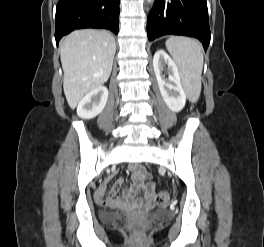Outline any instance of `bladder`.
I'll use <instances>...</instances> for the list:
<instances>
[{"label":"bladder","instance_id":"obj_1","mask_svg":"<svg viewBox=\"0 0 264 247\" xmlns=\"http://www.w3.org/2000/svg\"><path fill=\"white\" fill-rule=\"evenodd\" d=\"M164 215L161 211H155L147 215V219H159ZM100 220L107 223L123 221L126 218V213L119 209H106L100 212Z\"/></svg>","mask_w":264,"mask_h":247}]
</instances>
